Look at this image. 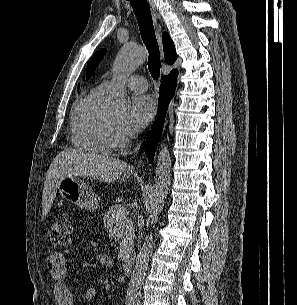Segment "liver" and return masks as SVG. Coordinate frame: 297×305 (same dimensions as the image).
Instances as JSON below:
<instances>
[{
  "label": "liver",
  "mask_w": 297,
  "mask_h": 305,
  "mask_svg": "<svg viewBox=\"0 0 297 305\" xmlns=\"http://www.w3.org/2000/svg\"><path fill=\"white\" fill-rule=\"evenodd\" d=\"M127 164L108 156L92 155L77 150L60 152L51 163L43 188L42 213L50 211L57 186L64 177H87L108 184L115 182L125 171ZM122 198H117V202Z\"/></svg>",
  "instance_id": "obj_1"
}]
</instances>
